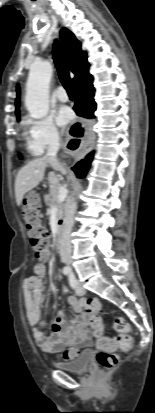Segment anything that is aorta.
<instances>
[{
    "mask_svg": "<svg viewBox=\"0 0 155 413\" xmlns=\"http://www.w3.org/2000/svg\"><path fill=\"white\" fill-rule=\"evenodd\" d=\"M49 61L34 64L29 72L26 84L25 106L31 117L44 118L49 110V83L52 76Z\"/></svg>",
    "mask_w": 155,
    "mask_h": 413,
    "instance_id": "1",
    "label": "aorta"
}]
</instances>
